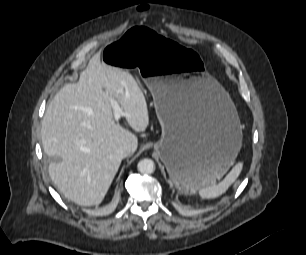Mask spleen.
Wrapping results in <instances>:
<instances>
[{"label": "spleen", "mask_w": 306, "mask_h": 255, "mask_svg": "<svg viewBox=\"0 0 306 255\" xmlns=\"http://www.w3.org/2000/svg\"><path fill=\"white\" fill-rule=\"evenodd\" d=\"M242 170V163H237L226 177L217 185H211L199 189V195L202 198H215L223 194L239 176Z\"/></svg>", "instance_id": "1"}]
</instances>
